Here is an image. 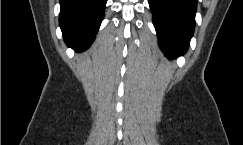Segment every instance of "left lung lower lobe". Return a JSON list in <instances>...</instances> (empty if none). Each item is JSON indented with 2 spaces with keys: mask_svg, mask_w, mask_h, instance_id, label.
I'll return each mask as SVG.
<instances>
[{
  "mask_svg": "<svg viewBox=\"0 0 243 145\" xmlns=\"http://www.w3.org/2000/svg\"><path fill=\"white\" fill-rule=\"evenodd\" d=\"M149 6L165 56L185 54L194 32L197 0H149Z\"/></svg>",
  "mask_w": 243,
  "mask_h": 145,
  "instance_id": "1",
  "label": "left lung lower lobe"
}]
</instances>
